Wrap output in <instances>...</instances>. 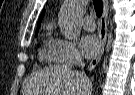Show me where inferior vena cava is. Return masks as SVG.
<instances>
[{
	"instance_id": "1",
	"label": "inferior vena cava",
	"mask_w": 135,
	"mask_h": 95,
	"mask_svg": "<svg viewBox=\"0 0 135 95\" xmlns=\"http://www.w3.org/2000/svg\"><path fill=\"white\" fill-rule=\"evenodd\" d=\"M72 64L77 65V66H79L81 68H83L85 66V63L82 61V58H81V56L79 54L75 55V57L73 58ZM81 74H83V72Z\"/></svg>"
}]
</instances>
